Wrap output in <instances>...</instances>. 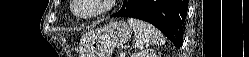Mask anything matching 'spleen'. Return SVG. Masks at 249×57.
<instances>
[{
	"label": "spleen",
	"instance_id": "spleen-1",
	"mask_svg": "<svg viewBox=\"0 0 249 57\" xmlns=\"http://www.w3.org/2000/svg\"><path fill=\"white\" fill-rule=\"evenodd\" d=\"M128 23L135 32V49H144L149 45H163L165 42L162 33L150 23L136 19L128 18Z\"/></svg>",
	"mask_w": 249,
	"mask_h": 57
}]
</instances>
